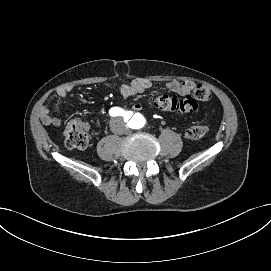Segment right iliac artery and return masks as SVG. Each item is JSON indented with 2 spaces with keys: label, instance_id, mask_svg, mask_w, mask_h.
Segmentation results:
<instances>
[{
  "label": "right iliac artery",
  "instance_id": "right-iliac-artery-1",
  "mask_svg": "<svg viewBox=\"0 0 271 271\" xmlns=\"http://www.w3.org/2000/svg\"><path fill=\"white\" fill-rule=\"evenodd\" d=\"M109 114L110 116H124V119L128 120L132 114L127 115L126 111H124L123 109L119 108V107H113L109 110Z\"/></svg>",
  "mask_w": 271,
  "mask_h": 271
}]
</instances>
